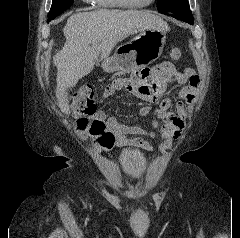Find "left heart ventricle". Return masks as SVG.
I'll return each instance as SVG.
<instances>
[{
	"mask_svg": "<svg viewBox=\"0 0 240 238\" xmlns=\"http://www.w3.org/2000/svg\"><path fill=\"white\" fill-rule=\"evenodd\" d=\"M130 1H137V2H147V1H149V0H130Z\"/></svg>",
	"mask_w": 240,
	"mask_h": 238,
	"instance_id": "left-heart-ventricle-1",
	"label": "left heart ventricle"
}]
</instances>
